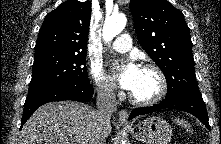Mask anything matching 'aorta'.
<instances>
[{
    "mask_svg": "<svg viewBox=\"0 0 221 144\" xmlns=\"http://www.w3.org/2000/svg\"><path fill=\"white\" fill-rule=\"evenodd\" d=\"M127 18L124 14L112 15L105 19L102 37L105 42L111 41L115 36L120 34L125 28Z\"/></svg>",
    "mask_w": 221,
    "mask_h": 144,
    "instance_id": "aorta-1",
    "label": "aorta"
}]
</instances>
